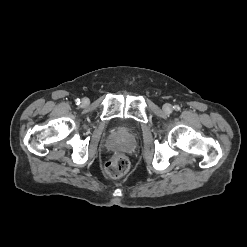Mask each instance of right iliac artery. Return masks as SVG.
<instances>
[{
    "instance_id": "82829eb1",
    "label": "right iliac artery",
    "mask_w": 247,
    "mask_h": 247,
    "mask_svg": "<svg viewBox=\"0 0 247 247\" xmlns=\"http://www.w3.org/2000/svg\"><path fill=\"white\" fill-rule=\"evenodd\" d=\"M75 103H76L77 105H79V104H80V99L77 98V99L75 100Z\"/></svg>"
}]
</instances>
